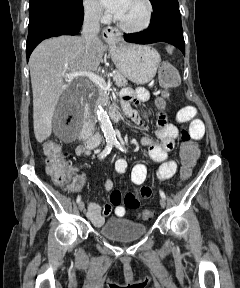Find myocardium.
<instances>
[{
    "instance_id": "myocardium-1",
    "label": "myocardium",
    "mask_w": 240,
    "mask_h": 288,
    "mask_svg": "<svg viewBox=\"0 0 240 288\" xmlns=\"http://www.w3.org/2000/svg\"><path fill=\"white\" fill-rule=\"evenodd\" d=\"M144 2L148 9L146 21L140 26L132 27V26L126 25L120 19H118L117 24L123 31L129 32V33H139V32H143L147 30L151 26L152 21H153V16H154V6L151 0H144Z\"/></svg>"
}]
</instances>
